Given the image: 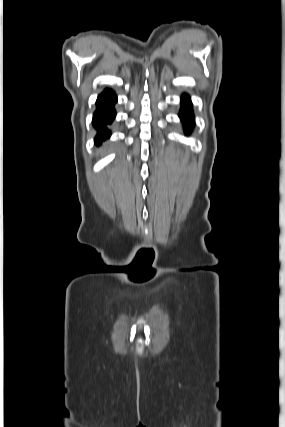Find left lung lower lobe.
Returning <instances> with one entry per match:
<instances>
[{
	"label": "left lung lower lobe",
	"mask_w": 285,
	"mask_h": 427,
	"mask_svg": "<svg viewBox=\"0 0 285 427\" xmlns=\"http://www.w3.org/2000/svg\"><path fill=\"white\" fill-rule=\"evenodd\" d=\"M180 117L183 120L186 131H189L194 125V117L191 109V101L186 95L182 97V110Z\"/></svg>",
	"instance_id": "0a47b994"
}]
</instances>
